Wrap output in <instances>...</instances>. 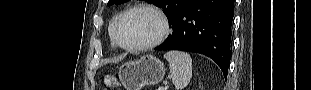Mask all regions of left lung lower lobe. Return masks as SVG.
I'll list each match as a JSON object with an SVG mask.
<instances>
[{"instance_id":"1","label":"left lung lower lobe","mask_w":311,"mask_h":90,"mask_svg":"<svg viewBox=\"0 0 311 90\" xmlns=\"http://www.w3.org/2000/svg\"><path fill=\"white\" fill-rule=\"evenodd\" d=\"M233 14L234 0H193L174 23L171 37L155 50L204 54L227 78Z\"/></svg>"}]
</instances>
